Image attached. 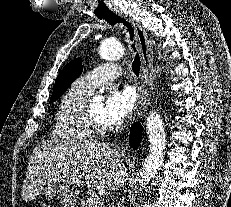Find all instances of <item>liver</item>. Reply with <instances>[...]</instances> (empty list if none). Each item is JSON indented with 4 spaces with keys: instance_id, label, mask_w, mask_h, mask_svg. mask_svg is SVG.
<instances>
[{
    "instance_id": "1",
    "label": "liver",
    "mask_w": 231,
    "mask_h": 207,
    "mask_svg": "<svg viewBox=\"0 0 231 207\" xmlns=\"http://www.w3.org/2000/svg\"><path fill=\"white\" fill-rule=\"evenodd\" d=\"M126 175L120 154L108 143L42 141L30 156L22 198L24 201L33 200L53 182L87 185L89 190H118L124 185Z\"/></svg>"
}]
</instances>
